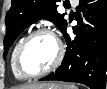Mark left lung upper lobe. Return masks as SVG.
<instances>
[{
	"mask_svg": "<svg viewBox=\"0 0 107 89\" xmlns=\"http://www.w3.org/2000/svg\"><path fill=\"white\" fill-rule=\"evenodd\" d=\"M60 0H12L10 10L6 14V35L4 37V49L8 47L17 36L29 25L39 19L52 21L61 31L67 26L65 14L57 12V2Z\"/></svg>",
	"mask_w": 107,
	"mask_h": 89,
	"instance_id": "5c2ea615",
	"label": "left lung upper lobe"
}]
</instances>
